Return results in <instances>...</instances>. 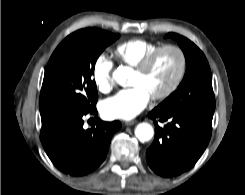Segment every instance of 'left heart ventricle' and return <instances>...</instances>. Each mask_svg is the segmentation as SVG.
<instances>
[{"instance_id":"left-heart-ventricle-1","label":"left heart ventricle","mask_w":245,"mask_h":195,"mask_svg":"<svg viewBox=\"0 0 245 195\" xmlns=\"http://www.w3.org/2000/svg\"><path fill=\"white\" fill-rule=\"evenodd\" d=\"M179 66V59L173 50L163 51L145 73L134 72L132 84L143 86L149 94L160 93L173 81Z\"/></svg>"}]
</instances>
